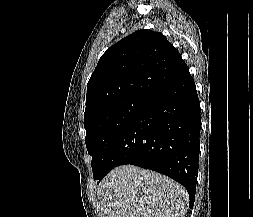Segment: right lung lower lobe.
<instances>
[{"mask_svg":"<svg viewBox=\"0 0 253 217\" xmlns=\"http://www.w3.org/2000/svg\"><path fill=\"white\" fill-rule=\"evenodd\" d=\"M200 102L188 67L152 95L118 139L101 181L114 167L132 164L181 183L193 208L200 151Z\"/></svg>","mask_w":253,"mask_h":217,"instance_id":"1","label":"right lung lower lobe"}]
</instances>
